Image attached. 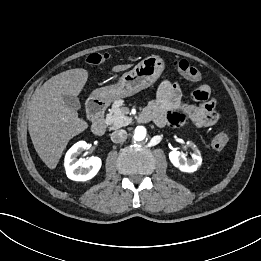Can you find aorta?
Returning <instances> with one entry per match:
<instances>
[{"label": "aorta", "mask_w": 261, "mask_h": 261, "mask_svg": "<svg viewBox=\"0 0 261 261\" xmlns=\"http://www.w3.org/2000/svg\"><path fill=\"white\" fill-rule=\"evenodd\" d=\"M146 129L143 126H138L133 132V138L135 141L141 142L146 138Z\"/></svg>", "instance_id": "obj_1"}]
</instances>
